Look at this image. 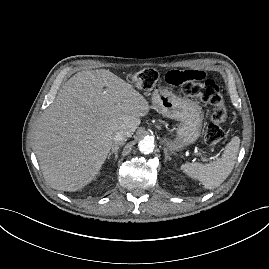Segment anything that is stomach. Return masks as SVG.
I'll return each instance as SVG.
<instances>
[{"mask_svg":"<svg viewBox=\"0 0 269 269\" xmlns=\"http://www.w3.org/2000/svg\"><path fill=\"white\" fill-rule=\"evenodd\" d=\"M153 107L164 117L180 122L174 141L165 142L170 151L195 143L201 135L203 113L199 104L174 95L167 89H156L152 94Z\"/></svg>","mask_w":269,"mask_h":269,"instance_id":"1","label":"stomach"}]
</instances>
